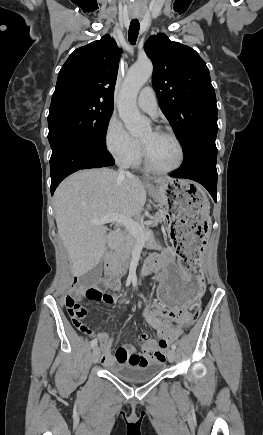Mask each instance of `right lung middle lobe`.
I'll use <instances>...</instances> for the list:
<instances>
[{
	"label": "right lung middle lobe",
	"mask_w": 263,
	"mask_h": 435,
	"mask_svg": "<svg viewBox=\"0 0 263 435\" xmlns=\"http://www.w3.org/2000/svg\"><path fill=\"white\" fill-rule=\"evenodd\" d=\"M113 105L98 101H72L50 106L48 140L52 152L64 140H80L105 147Z\"/></svg>",
	"instance_id": "1"
}]
</instances>
